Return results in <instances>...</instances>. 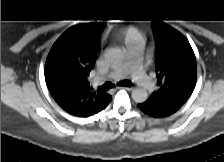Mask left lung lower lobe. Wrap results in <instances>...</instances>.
I'll return each mask as SVG.
<instances>
[{"label": "left lung lower lobe", "mask_w": 224, "mask_h": 162, "mask_svg": "<svg viewBox=\"0 0 224 162\" xmlns=\"http://www.w3.org/2000/svg\"><path fill=\"white\" fill-rule=\"evenodd\" d=\"M139 108L153 117H164L176 112L181 106L172 104H157L148 101L138 104Z\"/></svg>", "instance_id": "left-lung-lower-lobe-1"}]
</instances>
